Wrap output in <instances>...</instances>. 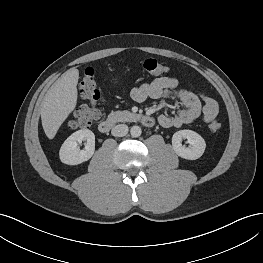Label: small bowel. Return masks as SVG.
<instances>
[{
    "label": "small bowel",
    "instance_id": "c3829d8e",
    "mask_svg": "<svg viewBox=\"0 0 263 263\" xmlns=\"http://www.w3.org/2000/svg\"><path fill=\"white\" fill-rule=\"evenodd\" d=\"M171 96L176 97L184 108L179 109L173 116L160 115L158 122L164 128H180L183 125L194 123L201 116L204 121L210 122L218 114V104L214 99L194 86L188 90H179L178 80L174 77H158L131 91L132 99L138 103L148 98L162 99Z\"/></svg>",
    "mask_w": 263,
    "mask_h": 263
}]
</instances>
